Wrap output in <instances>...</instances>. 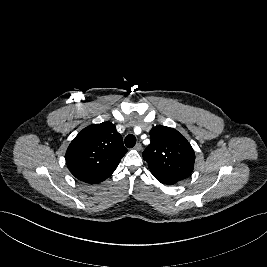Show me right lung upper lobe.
<instances>
[{
	"label": "right lung upper lobe",
	"instance_id": "1",
	"mask_svg": "<svg viewBox=\"0 0 267 267\" xmlns=\"http://www.w3.org/2000/svg\"><path fill=\"white\" fill-rule=\"evenodd\" d=\"M127 149L111 122L84 128L66 151V164L80 181L98 183L107 179L118 166Z\"/></svg>",
	"mask_w": 267,
	"mask_h": 267
}]
</instances>
